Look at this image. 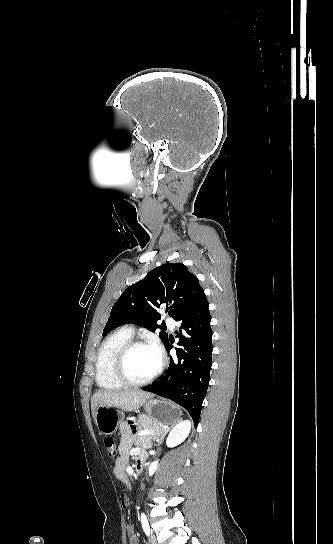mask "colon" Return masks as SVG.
<instances>
[{
    "mask_svg": "<svg viewBox=\"0 0 333 544\" xmlns=\"http://www.w3.org/2000/svg\"><path fill=\"white\" fill-rule=\"evenodd\" d=\"M104 446L109 454V456L113 457L116 455V446L115 441L112 437H106L104 439Z\"/></svg>",
    "mask_w": 333,
    "mask_h": 544,
    "instance_id": "1",
    "label": "colon"
}]
</instances>
